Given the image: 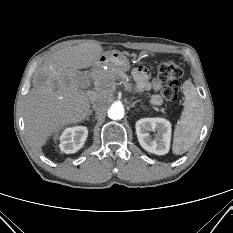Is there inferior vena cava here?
<instances>
[{
	"label": "inferior vena cava",
	"instance_id": "obj_1",
	"mask_svg": "<svg viewBox=\"0 0 233 233\" xmlns=\"http://www.w3.org/2000/svg\"><path fill=\"white\" fill-rule=\"evenodd\" d=\"M100 95H101L100 93L95 91H89L87 93V96L92 104H96V102L99 100Z\"/></svg>",
	"mask_w": 233,
	"mask_h": 233
}]
</instances>
